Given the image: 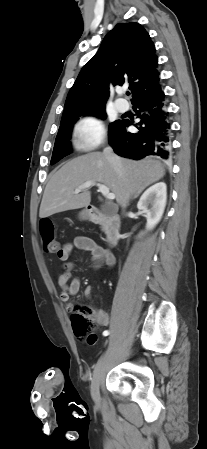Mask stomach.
I'll return each mask as SVG.
<instances>
[{"label":"stomach","mask_w":207,"mask_h":449,"mask_svg":"<svg viewBox=\"0 0 207 449\" xmlns=\"http://www.w3.org/2000/svg\"><path fill=\"white\" fill-rule=\"evenodd\" d=\"M88 216H89V214H88L87 210H82L79 213V218L82 220H86L88 218Z\"/></svg>","instance_id":"obj_1"}]
</instances>
